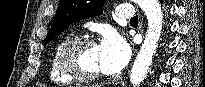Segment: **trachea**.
Returning <instances> with one entry per match:
<instances>
[{
    "mask_svg": "<svg viewBox=\"0 0 205 87\" xmlns=\"http://www.w3.org/2000/svg\"><path fill=\"white\" fill-rule=\"evenodd\" d=\"M130 22H138V16L131 18Z\"/></svg>",
    "mask_w": 205,
    "mask_h": 87,
    "instance_id": "obj_1",
    "label": "trachea"
}]
</instances>
